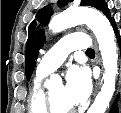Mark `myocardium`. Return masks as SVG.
<instances>
[{
    "mask_svg": "<svg viewBox=\"0 0 121 113\" xmlns=\"http://www.w3.org/2000/svg\"><path fill=\"white\" fill-rule=\"evenodd\" d=\"M46 106H47L49 113H71L73 111V108H71L67 111H64V112L58 111L54 102H53L50 91L46 92Z\"/></svg>",
    "mask_w": 121,
    "mask_h": 113,
    "instance_id": "obj_1",
    "label": "myocardium"
}]
</instances>
